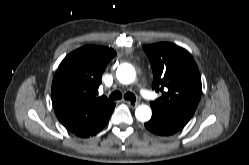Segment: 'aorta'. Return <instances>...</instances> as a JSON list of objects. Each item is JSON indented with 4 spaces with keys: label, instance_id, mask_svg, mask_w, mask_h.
Wrapping results in <instances>:
<instances>
[{
    "label": "aorta",
    "instance_id": "1",
    "mask_svg": "<svg viewBox=\"0 0 249 165\" xmlns=\"http://www.w3.org/2000/svg\"><path fill=\"white\" fill-rule=\"evenodd\" d=\"M117 79L123 84H130L136 79L135 69L132 66H121L116 72ZM136 118L141 122L150 120L152 116L151 108L147 105H140L135 111Z\"/></svg>",
    "mask_w": 249,
    "mask_h": 165
}]
</instances>
